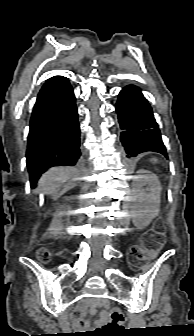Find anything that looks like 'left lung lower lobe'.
<instances>
[{"label":"left lung lower lobe","mask_w":194,"mask_h":336,"mask_svg":"<svg viewBox=\"0 0 194 336\" xmlns=\"http://www.w3.org/2000/svg\"><path fill=\"white\" fill-rule=\"evenodd\" d=\"M121 129L120 140L128 158L145 151L158 152L167 157L152 109L136 86L123 88L116 103Z\"/></svg>","instance_id":"0a47b994"}]
</instances>
